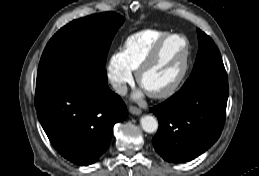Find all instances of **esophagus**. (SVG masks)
I'll list each match as a JSON object with an SVG mask.
<instances>
[{"label":"esophagus","mask_w":259,"mask_h":176,"mask_svg":"<svg viewBox=\"0 0 259 176\" xmlns=\"http://www.w3.org/2000/svg\"><path fill=\"white\" fill-rule=\"evenodd\" d=\"M129 111L133 114V115H140L142 113L141 109L135 107V106H130L129 107Z\"/></svg>","instance_id":"34e87169"}]
</instances>
